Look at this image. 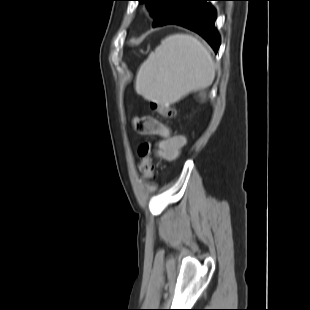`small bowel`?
<instances>
[{
  "label": "small bowel",
  "instance_id": "1",
  "mask_svg": "<svg viewBox=\"0 0 310 310\" xmlns=\"http://www.w3.org/2000/svg\"><path fill=\"white\" fill-rule=\"evenodd\" d=\"M134 128L142 134L158 135L161 140L156 144L155 154L165 160H174L186 144L183 135L172 134L169 127L152 116H138L133 119Z\"/></svg>",
  "mask_w": 310,
  "mask_h": 310
}]
</instances>
